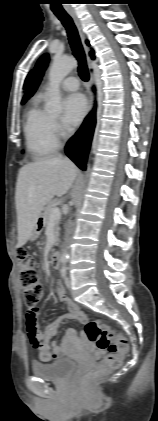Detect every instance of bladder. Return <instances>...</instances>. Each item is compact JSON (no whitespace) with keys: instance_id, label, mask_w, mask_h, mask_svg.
<instances>
[{"instance_id":"31cf9c89","label":"bladder","mask_w":158,"mask_h":421,"mask_svg":"<svg viewBox=\"0 0 158 421\" xmlns=\"http://www.w3.org/2000/svg\"><path fill=\"white\" fill-rule=\"evenodd\" d=\"M76 368V362L69 357H61L52 362H35L32 365L36 376L50 380H64L70 376Z\"/></svg>"}]
</instances>
